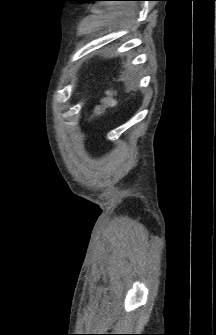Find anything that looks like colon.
Returning <instances> with one entry per match:
<instances>
[{
	"instance_id": "5ec220e1",
	"label": "colon",
	"mask_w": 216,
	"mask_h": 335,
	"mask_svg": "<svg viewBox=\"0 0 216 335\" xmlns=\"http://www.w3.org/2000/svg\"><path fill=\"white\" fill-rule=\"evenodd\" d=\"M115 105H116V101H115V98H114V93H113V91H108L106 93L105 97H103L101 102L95 108V112L98 115L103 114L107 110H110V109L114 108Z\"/></svg>"
}]
</instances>
